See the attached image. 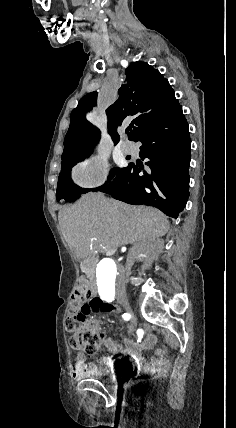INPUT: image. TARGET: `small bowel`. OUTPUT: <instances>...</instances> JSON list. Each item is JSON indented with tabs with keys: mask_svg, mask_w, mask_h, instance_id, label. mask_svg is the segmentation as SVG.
<instances>
[{
	"mask_svg": "<svg viewBox=\"0 0 236 428\" xmlns=\"http://www.w3.org/2000/svg\"><path fill=\"white\" fill-rule=\"evenodd\" d=\"M134 331L132 327L128 328L127 333L131 334ZM137 336L139 339L144 337V341L142 344L135 343L129 336L125 337L123 340V345L116 343L111 338L104 337L101 334V338L103 339L105 348L110 352L109 355L103 356L99 359V363L101 365L112 367L116 361L117 354H127L129 355L134 362L145 370H150L155 368L160 364V357L164 355L165 350L159 349L156 351V355L159 358L155 359H146L142 355V350L152 349L156 338L153 333L147 330H137ZM98 365L91 364L86 361V355L83 352H79L76 356V361L73 368L74 376H80L84 372L97 368Z\"/></svg>",
	"mask_w": 236,
	"mask_h": 428,
	"instance_id": "small-bowel-1",
	"label": "small bowel"
}]
</instances>
